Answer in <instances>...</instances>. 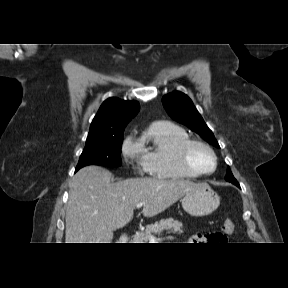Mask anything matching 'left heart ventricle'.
Instances as JSON below:
<instances>
[{
    "instance_id": "left-heart-ventricle-1",
    "label": "left heart ventricle",
    "mask_w": 288,
    "mask_h": 288,
    "mask_svg": "<svg viewBox=\"0 0 288 288\" xmlns=\"http://www.w3.org/2000/svg\"><path fill=\"white\" fill-rule=\"evenodd\" d=\"M191 161L203 171H211L214 167L212 155L202 147H194L191 152Z\"/></svg>"
}]
</instances>
